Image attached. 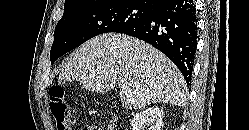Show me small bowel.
Masks as SVG:
<instances>
[{"instance_id":"1","label":"small bowel","mask_w":249,"mask_h":130,"mask_svg":"<svg viewBox=\"0 0 249 130\" xmlns=\"http://www.w3.org/2000/svg\"><path fill=\"white\" fill-rule=\"evenodd\" d=\"M83 130H104V128L96 124H88L83 128Z\"/></svg>"}]
</instances>
